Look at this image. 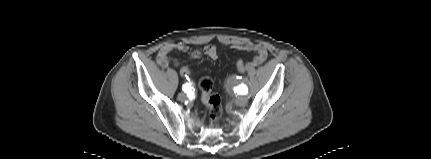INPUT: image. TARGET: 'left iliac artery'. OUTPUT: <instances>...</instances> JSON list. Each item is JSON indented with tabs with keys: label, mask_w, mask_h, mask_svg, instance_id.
Wrapping results in <instances>:
<instances>
[{
	"label": "left iliac artery",
	"mask_w": 431,
	"mask_h": 159,
	"mask_svg": "<svg viewBox=\"0 0 431 159\" xmlns=\"http://www.w3.org/2000/svg\"><path fill=\"white\" fill-rule=\"evenodd\" d=\"M239 89L241 94H247L248 92L246 85H241Z\"/></svg>",
	"instance_id": "left-iliac-artery-1"
}]
</instances>
